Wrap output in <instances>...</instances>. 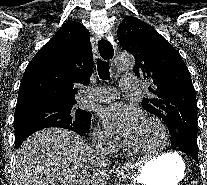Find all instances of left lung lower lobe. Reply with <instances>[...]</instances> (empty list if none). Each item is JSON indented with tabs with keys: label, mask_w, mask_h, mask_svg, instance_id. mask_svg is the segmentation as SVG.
Returning <instances> with one entry per match:
<instances>
[{
	"label": "left lung lower lobe",
	"mask_w": 207,
	"mask_h": 185,
	"mask_svg": "<svg viewBox=\"0 0 207 185\" xmlns=\"http://www.w3.org/2000/svg\"><path fill=\"white\" fill-rule=\"evenodd\" d=\"M186 154L190 155L199 164L198 153L190 152V153H186Z\"/></svg>",
	"instance_id": "0a47b994"
}]
</instances>
